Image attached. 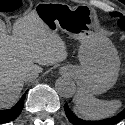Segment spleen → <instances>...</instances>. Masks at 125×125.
<instances>
[{"label":"spleen","instance_id":"obj_1","mask_svg":"<svg viewBox=\"0 0 125 125\" xmlns=\"http://www.w3.org/2000/svg\"><path fill=\"white\" fill-rule=\"evenodd\" d=\"M121 105L119 100L103 101L79 90L75 97L73 111L81 118L97 120L113 115Z\"/></svg>","mask_w":125,"mask_h":125}]
</instances>
